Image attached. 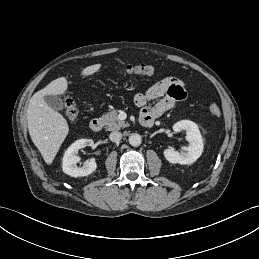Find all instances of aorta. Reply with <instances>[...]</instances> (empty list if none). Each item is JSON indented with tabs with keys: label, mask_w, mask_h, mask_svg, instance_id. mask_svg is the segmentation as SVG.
Here are the masks:
<instances>
[{
	"label": "aorta",
	"mask_w": 259,
	"mask_h": 259,
	"mask_svg": "<svg viewBox=\"0 0 259 259\" xmlns=\"http://www.w3.org/2000/svg\"><path fill=\"white\" fill-rule=\"evenodd\" d=\"M142 138L139 134H131L129 136V143L131 146L137 147L141 144Z\"/></svg>",
	"instance_id": "obj_1"
}]
</instances>
